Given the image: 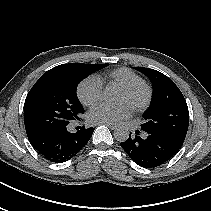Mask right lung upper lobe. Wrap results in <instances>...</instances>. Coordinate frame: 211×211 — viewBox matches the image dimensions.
<instances>
[{
	"mask_svg": "<svg viewBox=\"0 0 211 211\" xmlns=\"http://www.w3.org/2000/svg\"><path fill=\"white\" fill-rule=\"evenodd\" d=\"M71 64H62V65H58L50 70H48L47 72H45V75H50V74H61L66 72L68 69H70Z\"/></svg>",
	"mask_w": 211,
	"mask_h": 211,
	"instance_id": "obj_1",
	"label": "right lung upper lobe"
}]
</instances>
